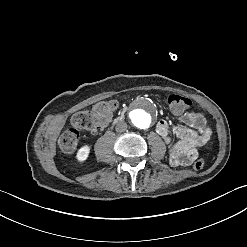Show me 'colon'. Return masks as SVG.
I'll return each mask as SVG.
<instances>
[{"label":"colon","mask_w":247,"mask_h":247,"mask_svg":"<svg viewBox=\"0 0 247 247\" xmlns=\"http://www.w3.org/2000/svg\"><path fill=\"white\" fill-rule=\"evenodd\" d=\"M168 106L175 112H180L189 107L190 102L182 96L171 94L167 98ZM115 99L109 97L107 100L100 101L96 107L89 108V114L84 112L76 113L72 121L78 127H91L92 125L103 124L108 120V115L112 113L115 107ZM79 139V133L75 128L65 131L58 140V149L63 154H71L75 151ZM204 159L199 158L192 164L196 171L204 167Z\"/></svg>","instance_id":"obj_1"}]
</instances>
